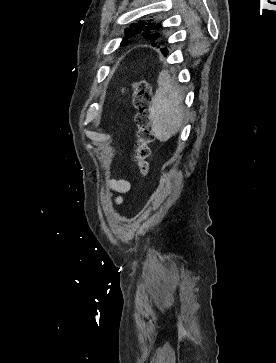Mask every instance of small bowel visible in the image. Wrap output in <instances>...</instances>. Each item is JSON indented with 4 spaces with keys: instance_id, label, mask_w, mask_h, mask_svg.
<instances>
[{
    "instance_id": "small-bowel-1",
    "label": "small bowel",
    "mask_w": 276,
    "mask_h": 363,
    "mask_svg": "<svg viewBox=\"0 0 276 363\" xmlns=\"http://www.w3.org/2000/svg\"><path fill=\"white\" fill-rule=\"evenodd\" d=\"M108 187L111 190L112 193L117 194H125L128 193L131 189V184L126 179H115L112 178L108 182ZM115 201L120 204L122 203L123 199L121 196H116Z\"/></svg>"
}]
</instances>
